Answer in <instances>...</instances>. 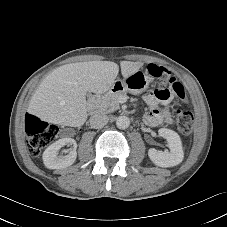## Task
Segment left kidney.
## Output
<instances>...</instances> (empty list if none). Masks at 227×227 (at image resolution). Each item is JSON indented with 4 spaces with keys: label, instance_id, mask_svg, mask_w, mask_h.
I'll list each match as a JSON object with an SVG mask.
<instances>
[{
    "label": "left kidney",
    "instance_id": "5707ae66",
    "mask_svg": "<svg viewBox=\"0 0 227 227\" xmlns=\"http://www.w3.org/2000/svg\"><path fill=\"white\" fill-rule=\"evenodd\" d=\"M158 134L166 139L170 151H158L151 148L148 151L150 160L159 167H173L180 164L184 158L180 136L167 128L159 129Z\"/></svg>",
    "mask_w": 227,
    "mask_h": 227
}]
</instances>
